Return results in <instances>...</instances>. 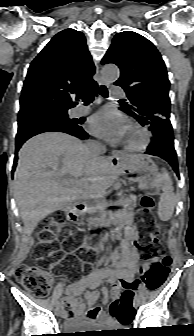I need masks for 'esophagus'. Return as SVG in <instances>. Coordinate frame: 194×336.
Returning <instances> with one entry per match:
<instances>
[{"instance_id":"34e87169","label":"esophagus","mask_w":194,"mask_h":336,"mask_svg":"<svg viewBox=\"0 0 194 336\" xmlns=\"http://www.w3.org/2000/svg\"><path fill=\"white\" fill-rule=\"evenodd\" d=\"M99 85H105L107 86L108 83L103 81L102 79L99 80ZM122 156V152L119 150H113L111 153L112 161L118 160Z\"/></svg>"}]
</instances>
